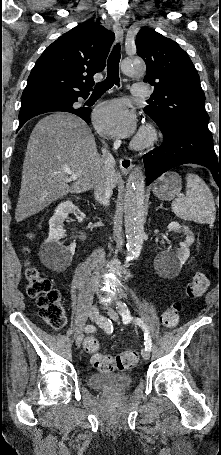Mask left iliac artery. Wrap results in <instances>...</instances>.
I'll use <instances>...</instances> for the list:
<instances>
[{
    "label": "left iliac artery",
    "instance_id": "44dca946",
    "mask_svg": "<svg viewBox=\"0 0 221 455\" xmlns=\"http://www.w3.org/2000/svg\"><path fill=\"white\" fill-rule=\"evenodd\" d=\"M117 304L119 306L118 310L122 316L123 322L125 324H128L132 320V317L130 316V312L128 310L127 305L123 302H118ZM134 321L137 325H139L144 330L145 350L150 352L151 348H152V341H151V336L146 328L145 323L140 318H135Z\"/></svg>",
    "mask_w": 221,
    "mask_h": 455
}]
</instances>
